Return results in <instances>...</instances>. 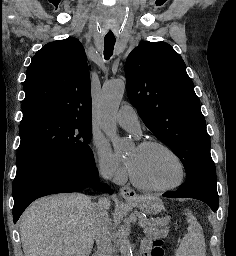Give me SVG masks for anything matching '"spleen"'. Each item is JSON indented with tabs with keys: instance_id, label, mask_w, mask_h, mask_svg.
<instances>
[{
	"instance_id": "1",
	"label": "spleen",
	"mask_w": 236,
	"mask_h": 256,
	"mask_svg": "<svg viewBox=\"0 0 236 256\" xmlns=\"http://www.w3.org/2000/svg\"><path fill=\"white\" fill-rule=\"evenodd\" d=\"M185 216H187L188 234L184 236L175 256H206L202 226L191 212H187Z\"/></svg>"
}]
</instances>
